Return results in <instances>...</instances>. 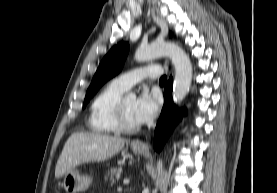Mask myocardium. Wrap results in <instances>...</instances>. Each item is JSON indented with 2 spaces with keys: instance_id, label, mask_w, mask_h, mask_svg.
Listing matches in <instances>:
<instances>
[{
  "instance_id": "f54148a6",
  "label": "myocardium",
  "mask_w": 277,
  "mask_h": 193,
  "mask_svg": "<svg viewBox=\"0 0 277 193\" xmlns=\"http://www.w3.org/2000/svg\"><path fill=\"white\" fill-rule=\"evenodd\" d=\"M122 99H120L115 107V121L119 132L133 133L141 128L140 124H133L127 120L125 115L124 105Z\"/></svg>"
}]
</instances>
